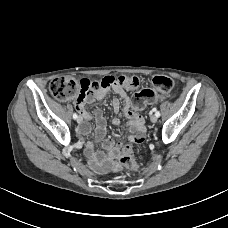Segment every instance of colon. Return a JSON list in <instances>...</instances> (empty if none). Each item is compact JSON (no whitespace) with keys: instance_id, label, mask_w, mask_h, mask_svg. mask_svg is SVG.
<instances>
[{"instance_id":"1","label":"colon","mask_w":228,"mask_h":228,"mask_svg":"<svg viewBox=\"0 0 228 228\" xmlns=\"http://www.w3.org/2000/svg\"><path fill=\"white\" fill-rule=\"evenodd\" d=\"M136 77L106 76L101 80L81 79L75 80L67 77L53 79L49 84L51 94L58 100H68L75 97H82L86 94H96L101 90H106L113 85H120L126 88H134L138 85ZM155 89L146 88L136 93L132 100L133 109L142 110L147 105L155 103L165 95L172 93L174 81L165 75H156L152 79ZM119 163L125 169L135 172L138 170V164L133 158V148L131 145H125L119 154Z\"/></svg>"}]
</instances>
